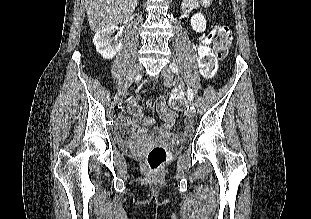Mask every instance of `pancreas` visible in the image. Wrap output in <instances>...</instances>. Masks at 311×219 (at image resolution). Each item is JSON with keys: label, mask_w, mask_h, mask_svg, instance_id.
I'll list each match as a JSON object with an SVG mask.
<instances>
[{"label": "pancreas", "mask_w": 311, "mask_h": 219, "mask_svg": "<svg viewBox=\"0 0 311 219\" xmlns=\"http://www.w3.org/2000/svg\"><path fill=\"white\" fill-rule=\"evenodd\" d=\"M195 0H187V6L193 5Z\"/></svg>", "instance_id": "pancreas-1"}]
</instances>
